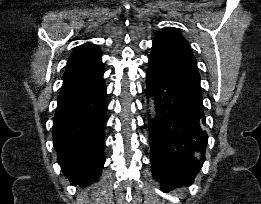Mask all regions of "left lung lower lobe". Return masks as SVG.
<instances>
[{
  "label": "left lung lower lobe",
  "mask_w": 261,
  "mask_h": 204,
  "mask_svg": "<svg viewBox=\"0 0 261 204\" xmlns=\"http://www.w3.org/2000/svg\"><path fill=\"white\" fill-rule=\"evenodd\" d=\"M147 94L154 97L155 118L149 121L154 178L167 191L190 185L203 164L208 135L197 62L178 32L158 33L148 60Z\"/></svg>",
  "instance_id": "obj_1"
}]
</instances>
